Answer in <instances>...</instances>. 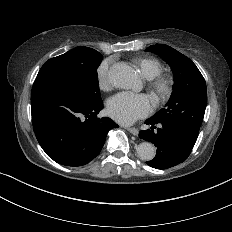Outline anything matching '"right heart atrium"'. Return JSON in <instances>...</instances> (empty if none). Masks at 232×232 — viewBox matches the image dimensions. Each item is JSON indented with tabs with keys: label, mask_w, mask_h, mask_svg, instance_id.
<instances>
[{
	"label": "right heart atrium",
	"mask_w": 232,
	"mask_h": 232,
	"mask_svg": "<svg viewBox=\"0 0 232 232\" xmlns=\"http://www.w3.org/2000/svg\"><path fill=\"white\" fill-rule=\"evenodd\" d=\"M107 65H108L107 62H103L102 65L99 68V71H98L100 79L104 80V81H106V79H105V70H106Z\"/></svg>",
	"instance_id": "obj_1"
}]
</instances>
